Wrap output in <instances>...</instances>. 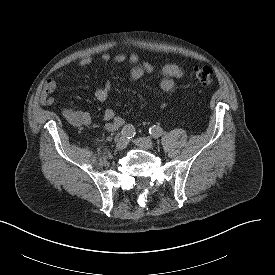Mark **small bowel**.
<instances>
[{"instance_id": "small-bowel-1", "label": "small bowel", "mask_w": 275, "mask_h": 275, "mask_svg": "<svg viewBox=\"0 0 275 275\" xmlns=\"http://www.w3.org/2000/svg\"><path fill=\"white\" fill-rule=\"evenodd\" d=\"M101 60L108 62L114 60L119 63L129 61L133 68L130 72V79L132 81H137L142 78L146 73H151L153 71V66L149 62H141L140 58L136 54H131L126 56L125 54H115L111 55L109 53H103ZM95 59L92 56H86L82 58L78 63V68H85L92 64ZM160 73L162 79L160 81V87L164 92H170L175 86V80L182 79L185 75L183 69L176 64L168 63L161 67ZM65 75L64 71L58 72L56 79H48L43 87L42 94L40 96V101L43 104L55 105L58 104V100L54 98L51 94L55 91L57 87V79L62 78ZM111 82L107 81L103 87L99 88L95 92V97L100 103H104L109 98L111 92ZM63 118L69 122L71 125L76 127L87 126L91 123L92 116L88 111L64 109L62 111ZM103 119L105 122V129L107 131L113 132L121 128L125 121L122 117L116 115L114 110L106 109L103 114Z\"/></svg>"}]
</instances>
